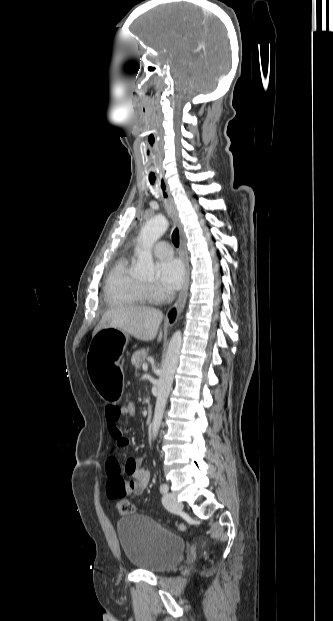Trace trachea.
<instances>
[{"label": "trachea", "mask_w": 333, "mask_h": 621, "mask_svg": "<svg viewBox=\"0 0 333 621\" xmlns=\"http://www.w3.org/2000/svg\"><path fill=\"white\" fill-rule=\"evenodd\" d=\"M155 174L154 173H150L149 174V182L151 184V186H154L155 183ZM172 242L176 247H179V230L178 228H176L173 233H172Z\"/></svg>", "instance_id": "obj_1"}]
</instances>
